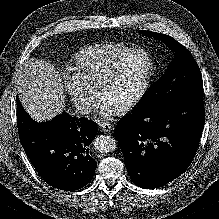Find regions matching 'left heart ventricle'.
<instances>
[{
    "mask_svg": "<svg viewBox=\"0 0 219 219\" xmlns=\"http://www.w3.org/2000/svg\"><path fill=\"white\" fill-rule=\"evenodd\" d=\"M149 61L144 54H136L122 63L116 74L101 91V97L114 108L130 101L137 93L148 71Z\"/></svg>",
    "mask_w": 219,
    "mask_h": 219,
    "instance_id": "obj_1",
    "label": "left heart ventricle"
}]
</instances>
